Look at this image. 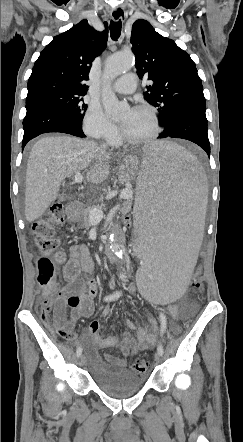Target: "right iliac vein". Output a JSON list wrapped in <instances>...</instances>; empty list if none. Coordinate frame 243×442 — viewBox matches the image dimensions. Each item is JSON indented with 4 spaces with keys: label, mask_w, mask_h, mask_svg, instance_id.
<instances>
[{
    "label": "right iliac vein",
    "mask_w": 243,
    "mask_h": 442,
    "mask_svg": "<svg viewBox=\"0 0 243 442\" xmlns=\"http://www.w3.org/2000/svg\"><path fill=\"white\" fill-rule=\"evenodd\" d=\"M85 363V356L81 355L80 356V364L83 365Z\"/></svg>",
    "instance_id": "obj_1"
}]
</instances>
